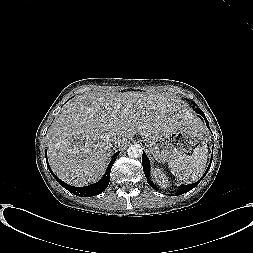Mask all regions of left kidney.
<instances>
[{"label": "left kidney", "instance_id": "left-kidney-1", "mask_svg": "<svg viewBox=\"0 0 253 253\" xmlns=\"http://www.w3.org/2000/svg\"><path fill=\"white\" fill-rule=\"evenodd\" d=\"M156 181L161 187H167L169 182L167 176L163 173L161 169H156L154 173Z\"/></svg>", "mask_w": 253, "mask_h": 253}]
</instances>
